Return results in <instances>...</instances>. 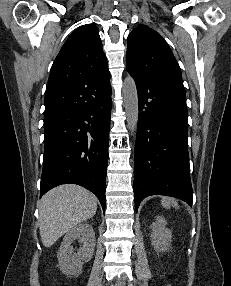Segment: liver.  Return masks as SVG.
Segmentation results:
<instances>
[{
	"label": "liver",
	"mask_w": 231,
	"mask_h": 286,
	"mask_svg": "<svg viewBox=\"0 0 231 286\" xmlns=\"http://www.w3.org/2000/svg\"><path fill=\"white\" fill-rule=\"evenodd\" d=\"M97 211L96 197L85 188L66 184L48 191L39 202V230L45 247L92 218Z\"/></svg>",
	"instance_id": "1"
}]
</instances>
